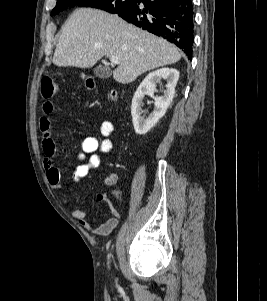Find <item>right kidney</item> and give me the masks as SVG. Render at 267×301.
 I'll return each mask as SVG.
<instances>
[{"instance_id":"right-kidney-1","label":"right kidney","mask_w":267,"mask_h":301,"mask_svg":"<svg viewBox=\"0 0 267 301\" xmlns=\"http://www.w3.org/2000/svg\"><path fill=\"white\" fill-rule=\"evenodd\" d=\"M162 79L167 81L166 90L161 97H154L156 90V83ZM179 79V71L174 68H162L149 73L142 83L137 88L134 94L131 105L132 122L135 132L139 135L146 134L153 128L160 118L164 116L167 108L172 102L175 94V87ZM150 95L155 101L154 111L148 116L143 118L141 103L145 95Z\"/></svg>"}]
</instances>
